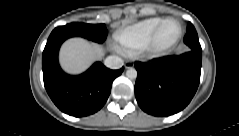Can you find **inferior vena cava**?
<instances>
[{
  "instance_id": "obj_1",
  "label": "inferior vena cava",
  "mask_w": 239,
  "mask_h": 136,
  "mask_svg": "<svg viewBox=\"0 0 239 136\" xmlns=\"http://www.w3.org/2000/svg\"><path fill=\"white\" fill-rule=\"evenodd\" d=\"M104 64L110 69H120L123 66L124 62L118 56H109L105 59Z\"/></svg>"
}]
</instances>
